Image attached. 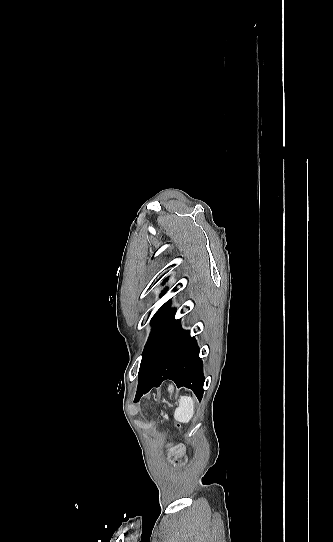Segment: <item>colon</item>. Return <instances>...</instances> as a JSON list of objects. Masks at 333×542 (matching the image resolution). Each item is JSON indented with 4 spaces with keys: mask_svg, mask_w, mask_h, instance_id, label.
Listing matches in <instances>:
<instances>
[{
    "mask_svg": "<svg viewBox=\"0 0 333 542\" xmlns=\"http://www.w3.org/2000/svg\"><path fill=\"white\" fill-rule=\"evenodd\" d=\"M177 462H178V458L176 457V459H175V463H177Z\"/></svg>",
    "mask_w": 333,
    "mask_h": 542,
    "instance_id": "colon-1",
    "label": "colon"
}]
</instances>
